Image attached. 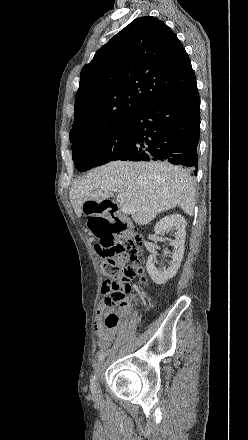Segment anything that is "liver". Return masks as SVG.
Returning a JSON list of instances; mask_svg holds the SVG:
<instances>
[{"label":"liver","instance_id":"6515ba94","mask_svg":"<svg viewBox=\"0 0 248 440\" xmlns=\"http://www.w3.org/2000/svg\"><path fill=\"white\" fill-rule=\"evenodd\" d=\"M111 189H117L134 209L132 218L139 225L177 206L190 216L194 212V183L181 167L159 161H113L89 171L73 184L69 198L76 215L81 217L86 201L100 203L108 199Z\"/></svg>","mask_w":248,"mask_h":440}]
</instances>
